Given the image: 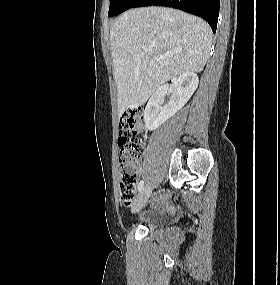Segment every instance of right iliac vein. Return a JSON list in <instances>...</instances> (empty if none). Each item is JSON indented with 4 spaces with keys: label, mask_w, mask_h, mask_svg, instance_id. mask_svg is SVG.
Returning <instances> with one entry per match:
<instances>
[{
    "label": "right iliac vein",
    "mask_w": 280,
    "mask_h": 285,
    "mask_svg": "<svg viewBox=\"0 0 280 285\" xmlns=\"http://www.w3.org/2000/svg\"><path fill=\"white\" fill-rule=\"evenodd\" d=\"M152 193V188L149 186H146L138 195L133 207L132 211L134 213L138 212L143 208V206L147 203L148 199L150 198Z\"/></svg>",
    "instance_id": "1"
}]
</instances>
